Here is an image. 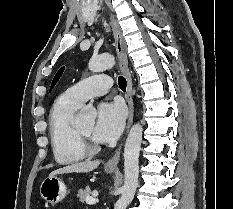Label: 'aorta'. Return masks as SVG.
Masks as SVG:
<instances>
[{"label":"aorta","instance_id":"1","mask_svg":"<svg viewBox=\"0 0 233 209\" xmlns=\"http://www.w3.org/2000/svg\"><path fill=\"white\" fill-rule=\"evenodd\" d=\"M115 58L110 54H103L92 58L88 67L92 72H102L113 67ZM96 111L93 107L83 108L76 117L80 124L90 123L95 120ZM143 128L140 123L134 124L127 136L124 148V185L122 186L121 197L115 204L114 209H126L133 200L139 177V152L141 149Z\"/></svg>","mask_w":233,"mask_h":209}]
</instances>
